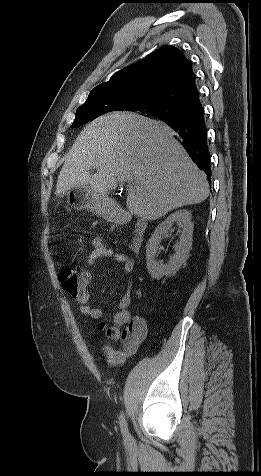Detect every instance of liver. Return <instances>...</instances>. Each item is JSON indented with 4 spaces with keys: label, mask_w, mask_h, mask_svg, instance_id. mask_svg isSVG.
Returning a JSON list of instances; mask_svg holds the SVG:
<instances>
[{
    "label": "liver",
    "mask_w": 261,
    "mask_h": 476,
    "mask_svg": "<svg viewBox=\"0 0 261 476\" xmlns=\"http://www.w3.org/2000/svg\"><path fill=\"white\" fill-rule=\"evenodd\" d=\"M166 124L115 112L102 115L80 132L64 157L56 194L79 186L107 195L121 177L128 178L126 205L145 220L199 204L209 195L206 174L199 170ZM92 168L97 173L90 174Z\"/></svg>",
    "instance_id": "obj_1"
}]
</instances>
